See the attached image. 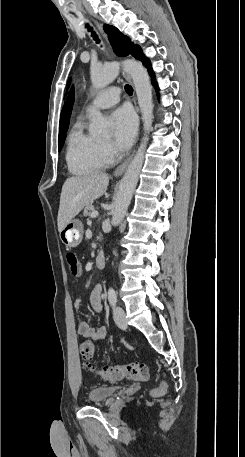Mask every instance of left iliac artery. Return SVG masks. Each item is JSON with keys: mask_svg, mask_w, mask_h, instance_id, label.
<instances>
[{"mask_svg": "<svg viewBox=\"0 0 245 457\" xmlns=\"http://www.w3.org/2000/svg\"><path fill=\"white\" fill-rule=\"evenodd\" d=\"M108 300L112 307H114L117 303V294L113 288H109L108 290Z\"/></svg>", "mask_w": 245, "mask_h": 457, "instance_id": "1", "label": "left iliac artery"}]
</instances>
